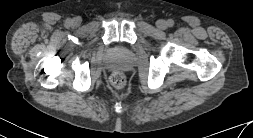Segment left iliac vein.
<instances>
[{
  "label": "left iliac vein",
  "mask_w": 253,
  "mask_h": 138,
  "mask_svg": "<svg viewBox=\"0 0 253 138\" xmlns=\"http://www.w3.org/2000/svg\"><path fill=\"white\" fill-rule=\"evenodd\" d=\"M157 27L161 30H164L167 28V22L165 20H158L157 23H156Z\"/></svg>",
  "instance_id": "1"
}]
</instances>
